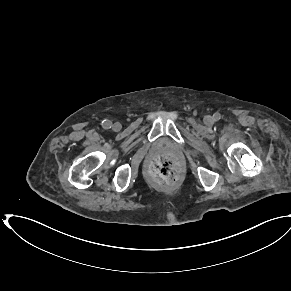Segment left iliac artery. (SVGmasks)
Instances as JSON below:
<instances>
[{
  "label": "left iliac artery",
  "instance_id": "left-iliac-artery-1",
  "mask_svg": "<svg viewBox=\"0 0 291 291\" xmlns=\"http://www.w3.org/2000/svg\"><path fill=\"white\" fill-rule=\"evenodd\" d=\"M215 117H216V119H219L220 118V115L217 114Z\"/></svg>",
  "mask_w": 291,
  "mask_h": 291
}]
</instances>
